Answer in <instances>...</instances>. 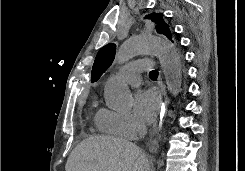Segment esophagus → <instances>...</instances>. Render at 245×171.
Here are the masks:
<instances>
[{"label": "esophagus", "mask_w": 245, "mask_h": 171, "mask_svg": "<svg viewBox=\"0 0 245 171\" xmlns=\"http://www.w3.org/2000/svg\"><path fill=\"white\" fill-rule=\"evenodd\" d=\"M158 85L160 87L161 96H160V110L158 112L157 120L153 125V128L150 133V141L154 137V135L158 134L162 128L163 122L166 118L168 106H169V98L167 95V91L165 85L163 84L162 79L158 80ZM151 151H156L158 149V144L156 142L151 143Z\"/></svg>", "instance_id": "obj_1"}]
</instances>
